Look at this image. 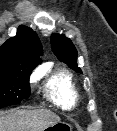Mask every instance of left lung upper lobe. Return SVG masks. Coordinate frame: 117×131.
Here are the masks:
<instances>
[{"instance_id": "1", "label": "left lung upper lobe", "mask_w": 117, "mask_h": 131, "mask_svg": "<svg viewBox=\"0 0 117 131\" xmlns=\"http://www.w3.org/2000/svg\"><path fill=\"white\" fill-rule=\"evenodd\" d=\"M51 45L54 54L60 61L65 62L71 69L82 73L77 66V50L69 38L64 35L52 34Z\"/></svg>"}]
</instances>
